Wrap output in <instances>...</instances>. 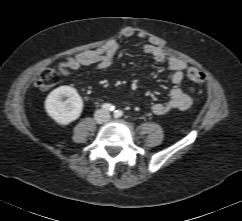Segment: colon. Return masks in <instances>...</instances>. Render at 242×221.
<instances>
[{
	"label": "colon",
	"instance_id": "5ec220e1",
	"mask_svg": "<svg viewBox=\"0 0 242 221\" xmlns=\"http://www.w3.org/2000/svg\"><path fill=\"white\" fill-rule=\"evenodd\" d=\"M188 78L196 84H199L204 81L203 72L195 66L189 67L187 71ZM59 80L58 72L55 68L45 69L39 76L37 80V87L41 91L51 90Z\"/></svg>",
	"mask_w": 242,
	"mask_h": 221
}]
</instances>
